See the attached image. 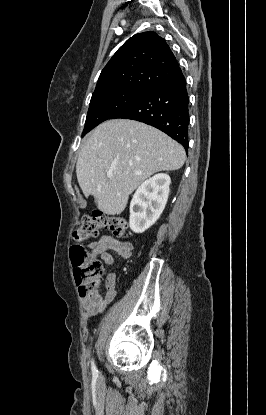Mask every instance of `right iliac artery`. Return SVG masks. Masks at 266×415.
Masks as SVG:
<instances>
[{"label": "right iliac artery", "instance_id": "1", "mask_svg": "<svg viewBox=\"0 0 266 415\" xmlns=\"http://www.w3.org/2000/svg\"><path fill=\"white\" fill-rule=\"evenodd\" d=\"M91 367H92V373H93V375L94 376H97L98 375V370H97V368H96L95 363H94L93 360L91 361Z\"/></svg>", "mask_w": 266, "mask_h": 415}]
</instances>
